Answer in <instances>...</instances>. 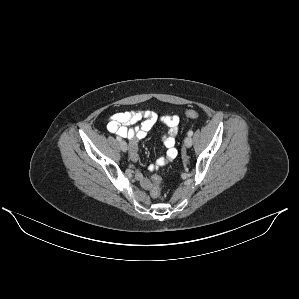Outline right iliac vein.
Masks as SVG:
<instances>
[{"instance_id": "right-iliac-vein-1", "label": "right iliac vein", "mask_w": 299, "mask_h": 299, "mask_svg": "<svg viewBox=\"0 0 299 299\" xmlns=\"http://www.w3.org/2000/svg\"><path fill=\"white\" fill-rule=\"evenodd\" d=\"M119 146H120V149L123 151V152H126L127 149H128V146H127V143L125 141H120L119 142Z\"/></svg>"}]
</instances>
